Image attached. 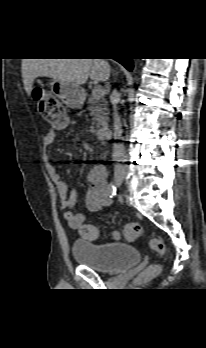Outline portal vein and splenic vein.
Listing matches in <instances>:
<instances>
[{"label":"portal vein and splenic vein","instance_id":"obj_1","mask_svg":"<svg viewBox=\"0 0 206 348\" xmlns=\"http://www.w3.org/2000/svg\"><path fill=\"white\" fill-rule=\"evenodd\" d=\"M105 90L102 87L96 86L92 90V95L96 98H100L104 95Z\"/></svg>","mask_w":206,"mask_h":348}]
</instances>
